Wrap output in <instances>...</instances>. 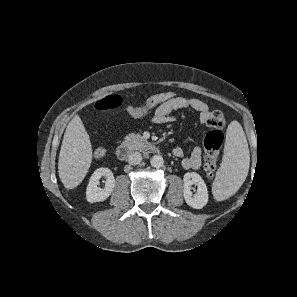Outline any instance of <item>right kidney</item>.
<instances>
[{
  "label": "right kidney",
  "mask_w": 297,
  "mask_h": 297,
  "mask_svg": "<svg viewBox=\"0 0 297 297\" xmlns=\"http://www.w3.org/2000/svg\"><path fill=\"white\" fill-rule=\"evenodd\" d=\"M104 176L106 178L105 187L99 188V179ZM115 187V178L112 171L108 168H98L90 177L89 184L86 189V198L90 203L106 200Z\"/></svg>",
  "instance_id": "obj_1"
}]
</instances>
